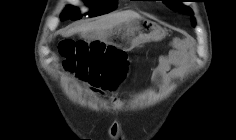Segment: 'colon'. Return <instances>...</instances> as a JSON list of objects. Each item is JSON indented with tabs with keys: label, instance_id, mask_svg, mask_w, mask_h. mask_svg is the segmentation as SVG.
Wrapping results in <instances>:
<instances>
[{
	"label": "colon",
	"instance_id": "obj_1",
	"mask_svg": "<svg viewBox=\"0 0 236 140\" xmlns=\"http://www.w3.org/2000/svg\"><path fill=\"white\" fill-rule=\"evenodd\" d=\"M59 52L64 70L78 74L101 92L114 90L127 72L126 54L100 41L63 40Z\"/></svg>",
	"mask_w": 236,
	"mask_h": 140
}]
</instances>
